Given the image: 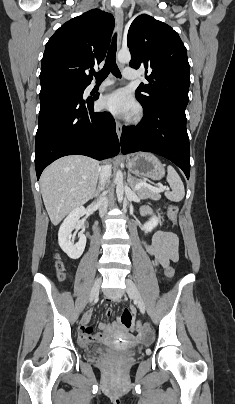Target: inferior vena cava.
Segmentation results:
<instances>
[{
    "label": "inferior vena cava",
    "mask_w": 235,
    "mask_h": 404,
    "mask_svg": "<svg viewBox=\"0 0 235 404\" xmlns=\"http://www.w3.org/2000/svg\"><path fill=\"white\" fill-rule=\"evenodd\" d=\"M111 175V166L110 165H104L100 167V185H99V192L103 190L104 186H105V182L106 180L110 177ZM99 213L100 216L103 217L107 211V207H108V200L106 198V196H101L99 199Z\"/></svg>",
    "instance_id": "inferior-vena-cava-1"
}]
</instances>
